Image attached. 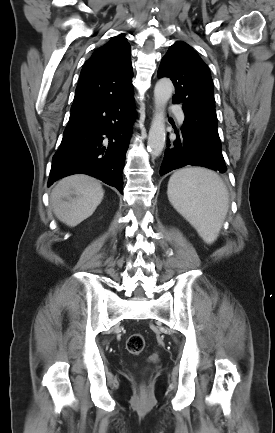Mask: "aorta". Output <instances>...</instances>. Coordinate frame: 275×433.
I'll list each match as a JSON object with an SVG mask.
<instances>
[{"instance_id":"obj_1","label":"aorta","mask_w":275,"mask_h":433,"mask_svg":"<svg viewBox=\"0 0 275 433\" xmlns=\"http://www.w3.org/2000/svg\"><path fill=\"white\" fill-rule=\"evenodd\" d=\"M173 93V83L168 78L160 79L154 88L155 113L148 136V150L153 157L159 156L166 140L164 108Z\"/></svg>"}]
</instances>
